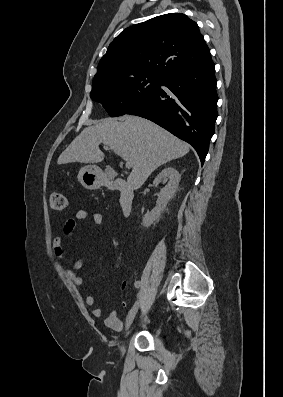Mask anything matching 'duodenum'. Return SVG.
Listing matches in <instances>:
<instances>
[{
    "label": "duodenum",
    "mask_w": 283,
    "mask_h": 397,
    "mask_svg": "<svg viewBox=\"0 0 283 397\" xmlns=\"http://www.w3.org/2000/svg\"><path fill=\"white\" fill-rule=\"evenodd\" d=\"M108 187L120 193L119 205L124 216H128L133 209L134 192L122 179H115L108 183Z\"/></svg>",
    "instance_id": "duodenum-1"
}]
</instances>
